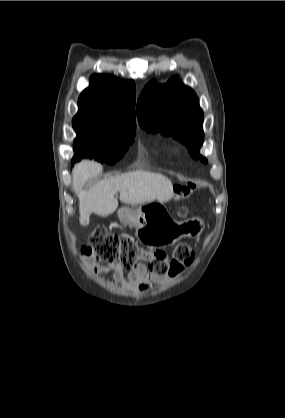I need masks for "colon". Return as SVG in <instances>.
<instances>
[{
	"label": "colon",
	"instance_id": "5ec220e1",
	"mask_svg": "<svg viewBox=\"0 0 285 418\" xmlns=\"http://www.w3.org/2000/svg\"><path fill=\"white\" fill-rule=\"evenodd\" d=\"M175 188L181 197L189 195L188 192L179 191L178 185ZM82 253L88 261L117 262L124 267H132L139 261H145L150 271L159 277H174L194 260V254L186 242L177 244L171 256H168L160 250L141 249L133 239L110 233L104 226L93 229Z\"/></svg>",
	"mask_w": 285,
	"mask_h": 418
}]
</instances>
